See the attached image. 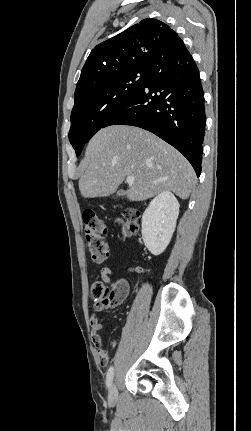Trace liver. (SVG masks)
<instances>
[{
    "instance_id": "1",
    "label": "liver",
    "mask_w": 251,
    "mask_h": 431,
    "mask_svg": "<svg viewBox=\"0 0 251 431\" xmlns=\"http://www.w3.org/2000/svg\"><path fill=\"white\" fill-rule=\"evenodd\" d=\"M79 190L84 198L113 194L128 176L135 181L125 192L143 201L164 191L181 199L190 196L196 175L187 159L156 135L138 127L112 125L88 143L80 167Z\"/></svg>"
}]
</instances>
